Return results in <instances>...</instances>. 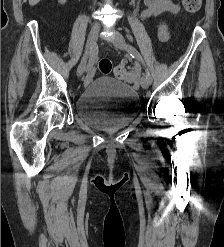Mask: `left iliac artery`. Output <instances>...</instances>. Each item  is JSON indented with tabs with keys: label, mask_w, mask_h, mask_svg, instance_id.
<instances>
[{
	"label": "left iliac artery",
	"mask_w": 224,
	"mask_h": 247,
	"mask_svg": "<svg viewBox=\"0 0 224 247\" xmlns=\"http://www.w3.org/2000/svg\"><path fill=\"white\" fill-rule=\"evenodd\" d=\"M128 51H129L130 55L133 58H136L137 60H139L140 62H142L144 64V61L142 59V56L140 55V53L134 47H132V46L129 45L128 46ZM145 77L149 81V83L151 84L152 83V77H151V74L148 71V69H146V71H145Z\"/></svg>",
	"instance_id": "obj_1"
}]
</instances>
